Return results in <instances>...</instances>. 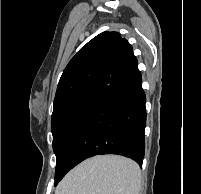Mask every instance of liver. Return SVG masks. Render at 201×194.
Instances as JSON below:
<instances>
[{
	"mask_svg": "<svg viewBox=\"0 0 201 194\" xmlns=\"http://www.w3.org/2000/svg\"><path fill=\"white\" fill-rule=\"evenodd\" d=\"M141 171L131 159L99 155L72 169L55 194H139Z\"/></svg>",
	"mask_w": 201,
	"mask_h": 194,
	"instance_id": "6515ba94",
	"label": "liver"
}]
</instances>
